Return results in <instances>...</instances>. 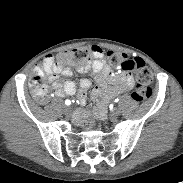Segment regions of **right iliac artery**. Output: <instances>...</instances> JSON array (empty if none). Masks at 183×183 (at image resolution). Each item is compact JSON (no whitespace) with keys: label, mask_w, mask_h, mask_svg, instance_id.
<instances>
[{"label":"right iliac artery","mask_w":183,"mask_h":183,"mask_svg":"<svg viewBox=\"0 0 183 183\" xmlns=\"http://www.w3.org/2000/svg\"><path fill=\"white\" fill-rule=\"evenodd\" d=\"M65 104H66V105H70V104H71V101L67 99V100L65 101Z\"/></svg>","instance_id":"right-iliac-artery-1"}]
</instances>
